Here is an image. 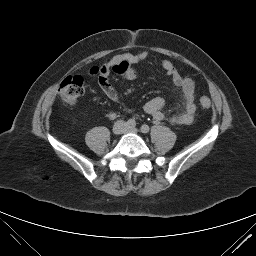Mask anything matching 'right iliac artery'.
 <instances>
[{
	"label": "right iliac artery",
	"instance_id": "1",
	"mask_svg": "<svg viewBox=\"0 0 256 256\" xmlns=\"http://www.w3.org/2000/svg\"><path fill=\"white\" fill-rule=\"evenodd\" d=\"M126 126L128 127H135L136 126V122L134 119H129L127 122H126Z\"/></svg>",
	"mask_w": 256,
	"mask_h": 256
}]
</instances>
